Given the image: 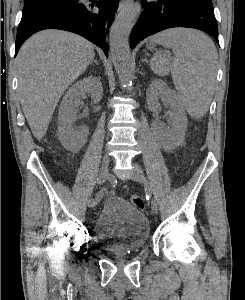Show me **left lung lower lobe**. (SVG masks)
Instances as JSON below:
<instances>
[{
	"instance_id": "obj_1",
	"label": "left lung lower lobe",
	"mask_w": 245,
	"mask_h": 300,
	"mask_svg": "<svg viewBox=\"0 0 245 300\" xmlns=\"http://www.w3.org/2000/svg\"><path fill=\"white\" fill-rule=\"evenodd\" d=\"M144 2V13L131 32V48L164 29L186 27L210 34L217 43L218 28L211 0H157Z\"/></svg>"
}]
</instances>
